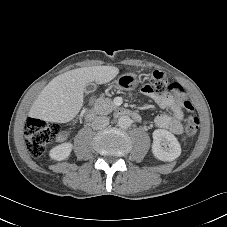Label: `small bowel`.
I'll return each mask as SVG.
<instances>
[{"instance_id":"1","label":"small bowel","mask_w":227,"mask_h":227,"mask_svg":"<svg viewBox=\"0 0 227 227\" xmlns=\"http://www.w3.org/2000/svg\"><path fill=\"white\" fill-rule=\"evenodd\" d=\"M141 92L152 98L160 108L171 112V114L157 115L154 119L155 126L166 129L173 134H181L184 113L175 97L170 94L159 95V89L152 87L150 83H143L141 85ZM64 137L65 135H61L59 140H63Z\"/></svg>"}]
</instances>
